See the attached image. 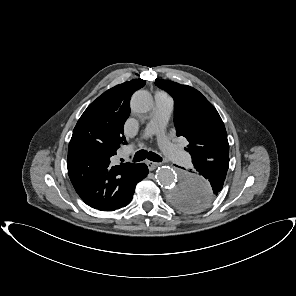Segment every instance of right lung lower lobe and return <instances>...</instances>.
Wrapping results in <instances>:
<instances>
[{
  "label": "right lung lower lobe",
  "instance_id": "obj_1",
  "mask_svg": "<svg viewBox=\"0 0 296 296\" xmlns=\"http://www.w3.org/2000/svg\"><path fill=\"white\" fill-rule=\"evenodd\" d=\"M148 174V168L144 163H139L134 166V168L131 170L130 178H129V184H130V191L127 200L122 205V207H125L130 203L132 200L133 193L135 191V186L138 182H140L142 179H144ZM121 207V208H122Z\"/></svg>",
  "mask_w": 296,
  "mask_h": 296
}]
</instances>
